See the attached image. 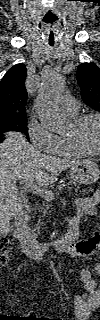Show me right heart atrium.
Returning a JSON list of instances; mask_svg holds the SVG:
<instances>
[{"label": "right heart atrium", "mask_w": 100, "mask_h": 320, "mask_svg": "<svg viewBox=\"0 0 100 320\" xmlns=\"http://www.w3.org/2000/svg\"><path fill=\"white\" fill-rule=\"evenodd\" d=\"M28 135L35 148L42 152L53 153L58 142V136L37 120L28 124Z\"/></svg>", "instance_id": "d8ad5b80"}]
</instances>
